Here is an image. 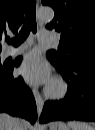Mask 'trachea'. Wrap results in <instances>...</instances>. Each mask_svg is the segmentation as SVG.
Listing matches in <instances>:
<instances>
[{"label": "trachea", "mask_w": 95, "mask_h": 130, "mask_svg": "<svg viewBox=\"0 0 95 130\" xmlns=\"http://www.w3.org/2000/svg\"><path fill=\"white\" fill-rule=\"evenodd\" d=\"M35 11H36V0H30L25 13L23 27L19 32V34L14 39H9L7 41L9 44L17 46L26 40L30 31L36 33L37 24H36Z\"/></svg>", "instance_id": "3493384b"}]
</instances>
